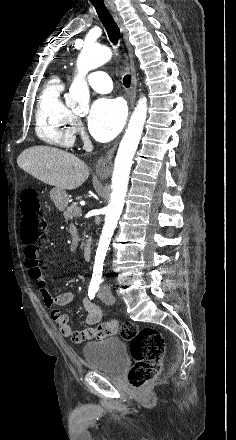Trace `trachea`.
<instances>
[{
	"mask_svg": "<svg viewBox=\"0 0 236 440\" xmlns=\"http://www.w3.org/2000/svg\"><path fill=\"white\" fill-rule=\"evenodd\" d=\"M92 4L95 7L96 12H97L101 22L103 23V25L107 31V34H108L110 41L114 45H116L119 41V36H120V30H119L117 23L115 22L112 15L108 11L104 2L103 3H92ZM123 85L126 88L130 87L131 75L127 74L123 77Z\"/></svg>",
	"mask_w": 236,
	"mask_h": 440,
	"instance_id": "3493384b",
	"label": "trachea"
}]
</instances>
